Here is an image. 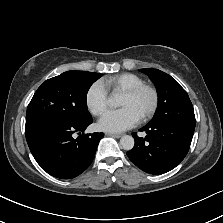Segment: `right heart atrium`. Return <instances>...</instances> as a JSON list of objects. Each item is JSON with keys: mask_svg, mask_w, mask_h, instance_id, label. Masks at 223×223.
Segmentation results:
<instances>
[{"mask_svg": "<svg viewBox=\"0 0 223 223\" xmlns=\"http://www.w3.org/2000/svg\"><path fill=\"white\" fill-rule=\"evenodd\" d=\"M85 103L89 112L101 115L108 106V90L102 81L92 83L86 91Z\"/></svg>", "mask_w": 223, "mask_h": 223, "instance_id": "1", "label": "right heart atrium"}]
</instances>
